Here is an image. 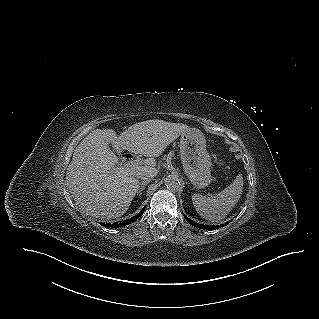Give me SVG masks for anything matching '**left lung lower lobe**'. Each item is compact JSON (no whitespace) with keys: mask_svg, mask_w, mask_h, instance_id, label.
Here are the masks:
<instances>
[{"mask_svg":"<svg viewBox=\"0 0 319 319\" xmlns=\"http://www.w3.org/2000/svg\"><path fill=\"white\" fill-rule=\"evenodd\" d=\"M185 219L187 220V222L191 225H193L194 227H198L199 229H206V230H215V229H219V227H223V225L220 226H209V225H203V224H199L196 223L195 221L189 219L188 217L185 216ZM229 223V222H228ZM226 223L225 226L228 224Z\"/></svg>","mask_w":319,"mask_h":319,"instance_id":"0a47b994","label":"left lung lower lobe"}]
</instances>
